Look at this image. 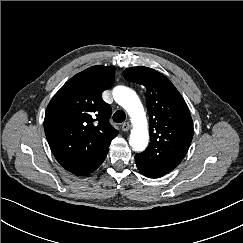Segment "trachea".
<instances>
[{
	"mask_svg": "<svg viewBox=\"0 0 243 243\" xmlns=\"http://www.w3.org/2000/svg\"><path fill=\"white\" fill-rule=\"evenodd\" d=\"M126 118L124 111L118 110L113 115V121L116 123H122Z\"/></svg>",
	"mask_w": 243,
	"mask_h": 243,
	"instance_id": "trachea-1",
	"label": "trachea"
}]
</instances>
